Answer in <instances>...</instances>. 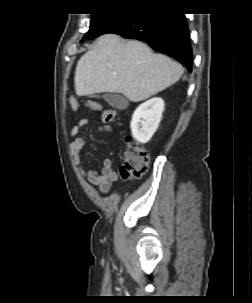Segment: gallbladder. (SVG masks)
Segmentation results:
<instances>
[{
    "instance_id": "1",
    "label": "gallbladder",
    "mask_w": 252,
    "mask_h": 303,
    "mask_svg": "<svg viewBox=\"0 0 252 303\" xmlns=\"http://www.w3.org/2000/svg\"><path fill=\"white\" fill-rule=\"evenodd\" d=\"M102 98L113 108L123 110L128 105V100L124 96L116 93L105 94Z\"/></svg>"
}]
</instances>
